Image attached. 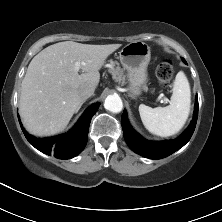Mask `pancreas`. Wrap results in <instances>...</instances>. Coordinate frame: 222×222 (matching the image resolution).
<instances>
[{"label": "pancreas", "mask_w": 222, "mask_h": 222, "mask_svg": "<svg viewBox=\"0 0 222 222\" xmlns=\"http://www.w3.org/2000/svg\"><path fill=\"white\" fill-rule=\"evenodd\" d=\"M112 68L109 69V72L113 75V78L115 81L124 84L125 83V76L123 73V70L119 67L116 66L114 62H110Z\"/></svg>", "instance_id": "cf45deb5"}]
</instances>
